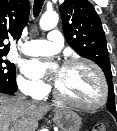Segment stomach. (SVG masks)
I'll list each match as a JSON object with an SVG mask.
<instances>
[{"instance_id": "obj_1", "label": "stomach", "mask_w": 117, "mask_h": 131, "mask_svg": "<svg viewBox=\"0 0 117 131\" xmlns=\"http://www.w3.org/2000/svg\"><path fill=\"white\" fill-rule=\"evenodd\" d=\"M53 121L60 131H79L82 124L79 115L69 109L56 112Z\"/></svg>"}]
</instances>
